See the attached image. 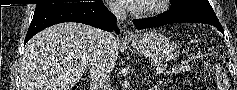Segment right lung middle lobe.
Wrapping results in <instances>:
<instances>
[{"label": "right lung middle lobe", "instance_id": "obj_1", "mask_svg": "<svg viewBox=\"0 0 237 90\" xmlns=\"http://www.w3.org/2000/svg\"><path fill=\"white\" fill-rule=\"evenodd\" d=\"M68 3H60V4H37L35 12L46 10L49 8L61 6V5H67ZM71 4V3H70Z\"/></svg>", "mask_w": 237, "mask_h": 90}]
</instances>
